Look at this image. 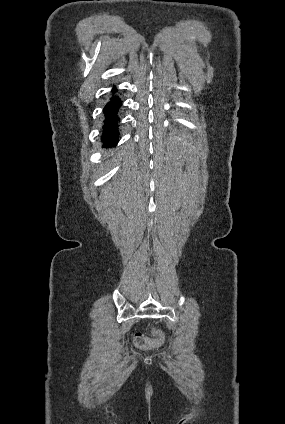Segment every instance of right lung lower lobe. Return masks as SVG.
Here are the masks:
<instances>
[{
    "mask_svg": "<svg viewBox=\"0 0 285 424\" xmlns=\"http://www.w3.org/2000/svg\"><path fill=\"white\" fill-rule=\"evenodd\" d=\"M117 91L115 87L112 89V97L110 101L106 104L104 108V125H103V134L101 140L106 144H117L119 141L118 134V121L117 111L122 104L120 98H118L114 93Z\"/></svg>",
    "mask_w": 285,
    "mask_h": 424,
    "instance_id": "obj_1",
    "label": "right lung lower lobe"
}]
</instances>
